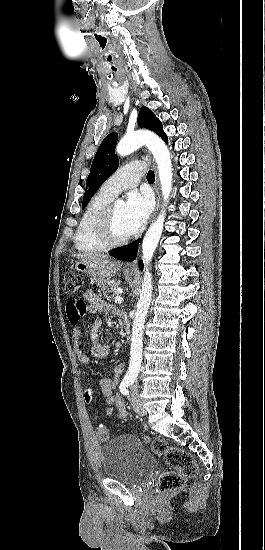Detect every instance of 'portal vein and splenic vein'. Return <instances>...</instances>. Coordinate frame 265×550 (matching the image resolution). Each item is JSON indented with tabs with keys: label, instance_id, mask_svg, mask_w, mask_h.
I'll return each instance as SVG.
<instances>
[{
	"label": "portal vein and splenic vein",
	"instance_id": "18ae733b",
	"mask_svg": "<svg viewBox=\"0 0 265 550\" xmlns=\"http://www.w3.org/2000/svg\"><path fill=\"white\" fill-rule=\"evenodd\" d=\"M114 301H115V303L120 304V303L123 302V299H122L120 296H116V297L114 298Z\"/></svg>",
	"mask_w": 265,
	"mask_h": 550
}]
</instances>
